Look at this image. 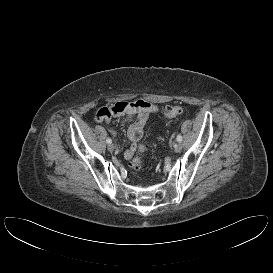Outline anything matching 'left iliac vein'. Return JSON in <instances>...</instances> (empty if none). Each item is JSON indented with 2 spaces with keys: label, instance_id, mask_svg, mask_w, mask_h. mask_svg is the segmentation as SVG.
<instances>
[{
  "label": "left iliac vein",
  "instance_id": "4c4485c4",
  "mask_svg": "<svg viewBox=\"0 0 273 273\" xmlns=\"http://www.w3.org/2000/svg\"><path fill=\"white\" fill-rule=\"evenodd\" d=\"M181 150H182V144H181V142L176 143V144L174 145V151H175L176 153H179Z\"/></svg>",
  "mask_w": 273,
  "mask_h": 273
}]
</instances>
